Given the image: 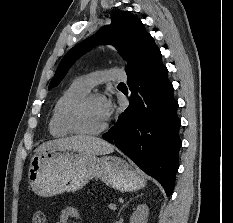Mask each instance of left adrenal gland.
<instances>
[{
  "instance_id": "a2214340",
  "label": "left adrenal gland",
  "mask_w": 233,
  "mask_h": 223,
  "mask_svg": "<svg viewBox=\"0 0 233 223\" xmlns=\"http://www.w3.org/2000/svg\"><path fill=\"white\" fill-rule=\"evenodd\" d=\"M141 195H143V193H141ZM136 197H138V195H136ZM131 199H132V197H131ZM131 199H129V201H131ZM129 201H126V203H124V205H122V207H120V209L118 211V215H120L123 207H126V205H128Z\"/></svg>"
}]
</instances>
